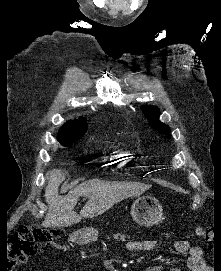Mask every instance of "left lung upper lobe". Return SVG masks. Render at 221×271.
I'll return each instance as SVG.
<instances>
[{"label": "left lung upper lobe", "mask_w": 221, "mask_h": 271, "mask_svg": "<svg viewBox=\"0 0 221 271\" xmlns=\"http://www.w3.org/2000/svg\"><path fill=\"white\" fill-rule=\"evenodd\" d=\"M143 113L146 115L151 125L163 134H169L170 128L164 123L159 121V110L155 106L142 107Z\"/></svg>", "instance_id": "left-lung-upper-lobe-1"}]
</instances>
